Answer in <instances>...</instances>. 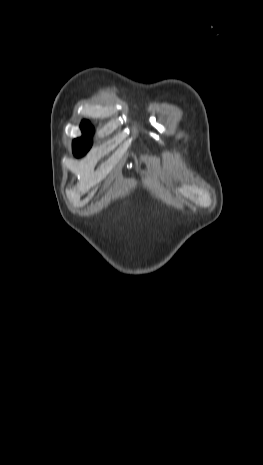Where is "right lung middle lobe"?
I'll list each match as a JSON object with an SVG mask.
<instances>
[{
    "label": "right lung middle lobe",
    "mask_w": 263,
    "mask_h": 465,
    "mask_svg": "<svg viewBox=\"0 0 263 465\" xmlns=\"http://www.w3.org/2000/svg\"><path fill=\"white\" fill-rule=\"evenodd\" d=\"M81 130L83 136L73 141V153L76 157L83 156L91 148V136L94 133V128L89 122H82Z\"/></svg>",
    "instance_id": "dd1d6c3e"
}]
</instances>
